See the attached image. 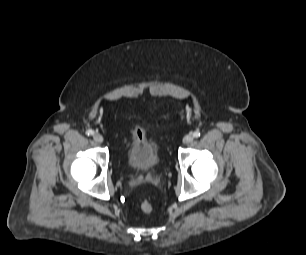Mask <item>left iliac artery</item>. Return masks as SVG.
Instances as JSON below:
<instances>
[{
    "mask_svg": "<svg viewBox=\"0 0 306 255\" xmlns=\"http://www.w3.org/2000/svg\"><path fill=\"white\" fill-rule=\"evenodd\" d=\"M200 132L199 131H195L194 133H193V136L195 137V138H198V137H200Z\"/></svg>",
    "mask_w": 306,
    "mask_h": 255,
    "instance_id": "obj_1",
    "label": "left iliac artery"
}]
</instances>
